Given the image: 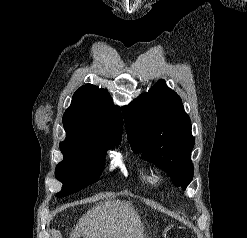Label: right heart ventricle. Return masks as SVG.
I'll return each instance as SVG.
<instances>
[{
	"label": "right heart ventricle",
	"instance_id": "e07e8e85",
	"mask_svg": "<svg viewBox=\"0 0 247 238\" xmlns=\"http://www.w3.org/2000/svg\"><path fill=\"white\" fill-rule=\"evenodd\" d=\"M140 176H141V178H142L143 180H145V181H151V180H152V176L150 175L149 172L142 171V172L140 173Z\"/></svg>",
	"mask_w": 247,
	"mask_h": 238
}]
</instances>
